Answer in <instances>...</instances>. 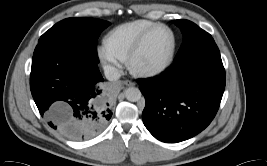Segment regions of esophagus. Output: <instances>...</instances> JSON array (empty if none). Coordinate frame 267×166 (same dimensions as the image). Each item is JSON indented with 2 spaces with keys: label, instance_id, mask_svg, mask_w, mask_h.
I'll list each match as a JSON object with an SVG mask.
<instances>
[{
  "label": "esophagus",
  "instance_id": "obj_1",
  "mask_svg": "<svg viewBox=\"0 0 267 166\" xmlns=\"http://www.w3.org/2000/svg\"><path fill=\"white\" fill-rule=\"evenodd\" d=\"M125 85H127V86H133L134 85V83L132 82V81H130V80H126V81H124L123 82Z\"/></svg>",
  "mask_w": 267,
  "mask_h": 166
}]
</instances>
